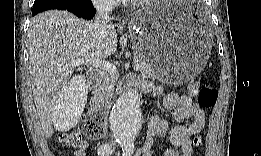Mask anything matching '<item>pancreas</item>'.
<instances>
[{"label":"pancreas","mask_w":261,"mask_h":156,"mask_svg":"<svg viewBox=\"0 0 261 156\" xmlns=\"http://www.w3.org/2000/svg\"><path fill=\"white\" fill-rule=\"evenodd\" d=\"M135 61L141 64L140 71L148 77H156L155 70L150 61L143 54L137 52L134 57ZM118 80V73L112 71H103L100 75L99 82L94 89L93 101L98 104H105L114 94V87Z\"/></svg>","instance_id":"cf45deb5"}]
</instances>
